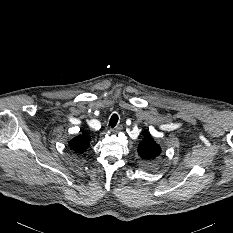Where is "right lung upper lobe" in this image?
<instances>
[{"mask_svg": "<svg viewBox=\"0 0 233 233\" xmlns=\"http://www.w3.org/2000/svg\"><path fill=\"white\" fill-rule=\"evenodd\" d=\"M89 146H90V137L85 132L76 136L69 142V147L73 151L79 154L85 152Z\"/></svg>", "mask_w": 233, "mask_h": 233, "instance_id": "1", "label": "right lung upper lobe"}]
</instances>
